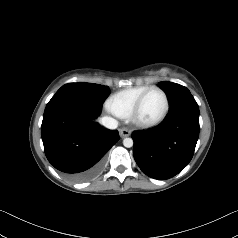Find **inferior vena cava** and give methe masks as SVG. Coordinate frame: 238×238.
Wrapping results in <instances>:
<instances>
[{"label": "inferior vena cava", "instance_id": "obj_1", "mask_svg": "<svg viewBox=\"0 0 238 238\" xmlns=\"http://www.w3.org/2000/svg\"><path fill=\"white\" fill-rule=\"evenodd\" d=\"M100 123L108 129H116L118 127V121L108 116L102 117L100 119Z\"/></svg>", "mask_w": 238, "mask_h": 238}]
</instances>
